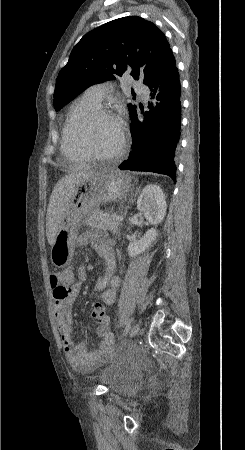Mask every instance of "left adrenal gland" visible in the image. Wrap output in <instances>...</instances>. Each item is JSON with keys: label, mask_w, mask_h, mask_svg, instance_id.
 I'll list each match as a JSON object with an SVG mask.
<instances>
[{"label": "left adrenal gland", "mask_w": 245, "mask_h": 450, "mask_svg": "<svg viewBox=\"0 0 245 450\" xmlns=\"http://www.w3.org/2000/svg\"><path fill=\"white\" fill-rule=\"evenodd\" d=\"M140 191V187H138V188H136V194L138 193ZM131 202H133V199H131ZM127 209H128V207H126V209H125V213L127 212Z\"/></svg>", "instance_id": "1"}]
</instances>
